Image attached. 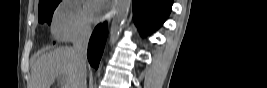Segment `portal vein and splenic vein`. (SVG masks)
<instances>
[{
  "mask_svg": "<svg viewBox=\"0 0 267 88\" xmlns=\"http://www.w3.org/2000/svg\"><path fill=\"white\" fill-rule=\"evenodd\" d=\"M64 79H65V77L63 76V77H62V80H64ZM65 88H67V86H65Z\"/></svg>",
  "mask_w": 267,
  "mask_h": 88,
  "instance_id": "portal-vein-and-splenic-vein-1",
  "label": "portal vein and splenic vein"
}]
</instances>
